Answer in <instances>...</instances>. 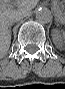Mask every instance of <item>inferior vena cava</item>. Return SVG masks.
Wrapping results in <instances>:
<instances>
[{"instance_id":"obj_1","label":"inferior vena cava","mask_w":65,"mask_h":89,"mask_svg":"<svg viewBox=\"0 0 65 89\" xmlns=\"http://www.w3.org/2000/svg\"><path fill=\"white\" fill-rule=\"evenodd\" d=\"M23 17H25V15H23V14L14 17V18L12 19V21H11V24H13V23L19 21V20L22 19Z\"/></svg>"}]
</instances>
